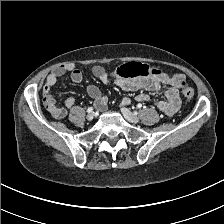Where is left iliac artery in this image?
Segmentation results:
<instances>
[{"mask_svg":"<svg viewBox=\"0 0 224 224\" xmlns=\"http://www.w3.org/2000/svg\"><path fill=\"white\" fill-rule=\"evenodd\" d=\"M137 107H138V108H141V107H142V105H141V104H138V105H137Z\"/></svg>","mask_w":224,"mask_h":224,"instance_id":"left-iliac-artery-1","label":"left iliac artery"}]
</instances>
